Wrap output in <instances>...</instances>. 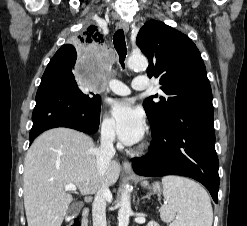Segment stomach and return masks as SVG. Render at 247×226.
<instances>
[{
	"label": "stomach",
	"instance_id": "obj_1",
	"mask_svg": "<svg viewBox=\"0 0 247 226\" xmlns=\"http://www.w3.org/2000/svg\"><path fill=\"white\" fill-rule=\"evenodd\" d=\"M141 185L144 188L150 189V191L154 194H161L162 192L161 185L158 182H155L152 185H149L147 181H143Z\"/></svg>",
	"mask_w": 247,
	"mask_h": 226
}]
</instances>
